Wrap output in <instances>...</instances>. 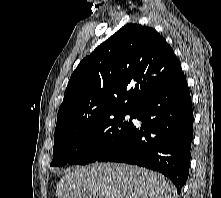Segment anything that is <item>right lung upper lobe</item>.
<instances>
[{"instance_id":"obj_1","label":"right lung upper lobe","mask_w":221,"mask_h":198,"mask_svg":"<svg viewBox=\"0 0 221 198\" xmlns=\"http://www.w3.org/2000/svg\"><path fill=\"white\" fill-rule=\"evenodd\" d=\"M182 74L172 48L155 29L129 23L84 58L71 75L55 137L116 113H136Z\"/></svg>"}]
</instances>
